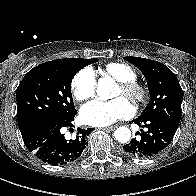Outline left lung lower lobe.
<instances>
[{"label":"left lung lower lobe","mask_w":196,"mask_h":196,"mask_svg":"<svg viewBox=\"0 0 196 196\" xmlns=\"http://www.w3.org/2000/svg\"><path fill=\"white\" fill-rule=\"evenodd\" d=\"M132 122L144 130L137 132L138 138L123 146L122 153L130 157L147 158L158 154L171 143L177 130L176 126L157 117L136 118Z\"/></svg>","instance_id":"1"}]
</instances>
